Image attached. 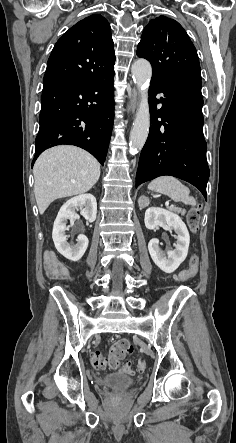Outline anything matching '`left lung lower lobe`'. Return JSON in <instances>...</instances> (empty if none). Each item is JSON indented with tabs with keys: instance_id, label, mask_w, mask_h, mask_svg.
<instances>
[{
	"instance_id": "0a47b994",
	"label": "left lung lower lobe",
	"mask_w": 236,
	"mask_h": 443,
	"mask_svg": "<svg viewBox=\"0 0 236 443\" xmlns=\"http://www.w3.org/2000/svg\"><path fill=\"white\" fill-rule=\"evenodd\" d=\"M159 93L163 96L157 100ZM149 102L151 125L139 159L136 187L171 175L191 183L206 198L209 167L203 136L201 80L151 79Z\"/></svg>"
}]
</instances>
